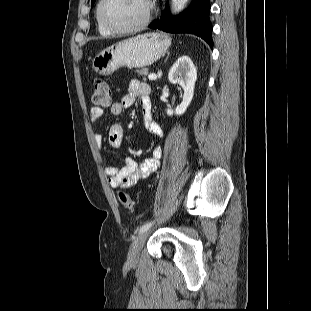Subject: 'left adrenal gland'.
<instances>
[{"instance_id":"a2214340","label":"left adrenal gland","mask_w":311,"mask_h":311,"mask_svg":"<svg viewBox=\"0 0 311 311\" xmlns=\"http://www.w3.org/2000/svg\"><path fill=\"white\" fill-rule=\"evenodd\" d=\"M169 54H170V53H168V55H167V57H166V60L168 59V57H169ZM166 60H165V61H166Z\"/></svg>"}]
</instances>
